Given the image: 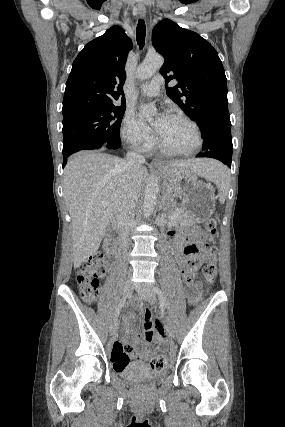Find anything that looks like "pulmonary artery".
Masks as SVG:
<instances>
[{
  "mask_svg": "<svg viewBox=\"0 0 285 427\" xmlns=\"http://www.w3.org/2000/svg\"><path fill=\"white\" fill-rule=\"evenodd\" d=\"M163 77L155 75L149 82L144 83L140 88V94L147 97H155L161 91Z\"/></svg>",
  "mask_w": 285,
  "mask_h": 427,
  "instance_id": "e3ab8cb5",
  "label": "pulmonary artery"
}]
</instances>
